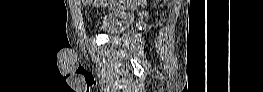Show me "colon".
<instances>
[{
  "instance_id": "5ec220e1",
  "label": "colon",
  "mask_w": 263,
  "mask_h": 92,
  "mask_svg": "<svg viewBox=\"0 0 263 92\" xmlns=\"http://www.w3.org/2000/svg\"><path fill=\"white\" fill-rule=\"evenodd\" d=\"M81 2H90V1H81ZM98 2H102V3H106V4H113V3H116V2H119V1H112V0H105V1H98Z\"/></svg>"
}]
</instances>
